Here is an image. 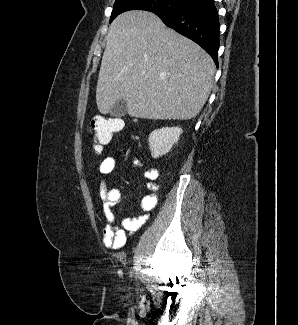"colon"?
Masks as SVG:
<instances>
[{
	"label": "colon",
	"mask_w": 298,
	"mask_h": 325,
	"mask_svg": "<svg viewBox=\"0 0 298 325\" xmlns=\"http://www.w3.org/2000/svg\"><path fill=\"white\" fill-rule=\"evenodd\" d=\"M123 122L119 118L96 116L89 125V133L93 140L95 152H100L103 145L107 144L114 133L121 130Z\"/></svg>",
	"instance_id": "obj_1"
}]
</instances>
